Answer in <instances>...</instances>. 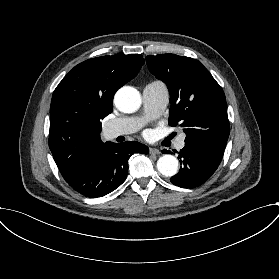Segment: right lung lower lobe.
<instances>
[{
	"label": "right lung lower lobe",
	"mask_w": 279,
	"mask_h": 279,
	"mask_svg": "<svg viewBox=\"0 0 279 279\" xmlns=\"http://www.w3.org/2000/svg\"><path fill=\"white\" fill-rule=\"evenodd\" d=\"M148 152V147L137 141L106 142L87 165L73 176L64 179L74 190L86 197H101L125 181L130 155Z\"/></svg>",
	"instance_id": "right-lung-lower-lobe-1"
}]
</instances>
